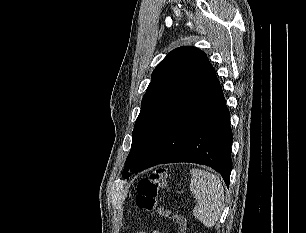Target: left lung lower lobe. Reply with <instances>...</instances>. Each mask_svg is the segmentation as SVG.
<instances>
[{"instance_id": "obj_1", "label": "left lung lower lobe", "mask_w": 306, "mask_h": 233, "mask_svg": "<svg viewBox=\"0 0 306 233\" xmlns=\"http://www.w3.org/2000/svg\"><path fill=\"white\" fill-rule=\"evenodd\" d=\"M232 141L230 113L217 80L167 132L137 172L158 164L192 162L214 168L229 186Z\"/></svg>"}]
</instances>
